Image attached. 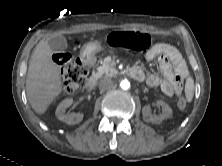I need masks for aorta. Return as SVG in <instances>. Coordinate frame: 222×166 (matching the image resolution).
<instances>
[{
    "instance_id": "aorta-1",
    "label": "aorta",
    "mask_w": 222,
    "mask_h": 166,
    "mask_svg": "<svg viewBox=\"0 0 222 166\" xmlns=\"http://www.w3.org/2000/svg\"><path fill=\"white\" fill-rule=\"evenodd\" d=\"M120 87L122 88V89H124V90H127V89H129L130 88V82L128 81V80H122L121 82H120Z\"/></svg>"
}]
</instances>
